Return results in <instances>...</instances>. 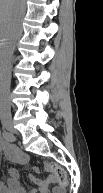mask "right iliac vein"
<instances>
[{
    "instance_id": "obj_1",
    "label": "right iliac vein",
    "mask_w": 103,
    "mask_h": 193,
    "mask_svg": "<svg viewBox=\"0 0 103 193\" xmlns=\"http://www.w3.org/2000/svg\"><path fill=\"white\" fill-rule=\"evenodd\" d=\"M3 126L10 132L15 133L16 130L14 128V125L11 121H4Z\"/></svg>"
}]
</instances>
